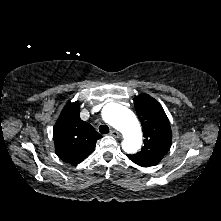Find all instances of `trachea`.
Listing matches in <instances>:
<instances>
[{"mask_svg":"<svg viewBox=\"0 0 221 221\" xmlns=\"http://www.w3.org/2000/svg\"><path fill=\"white\" fill-rule=\"evenodd\" d=\"M99 132L101 134H107V133H109V127L107 125H101L99 127Z\"/></svg>","mask_w":221,"mask_h":221,"instance_id":"trachea-1","label":"trachea"}]
</instances>
